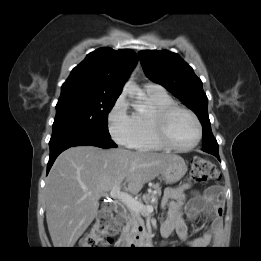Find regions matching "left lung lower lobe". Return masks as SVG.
I'll use <instances>...</instances> for the list:
<instances>
[{"label":"left lung lower lobe","instance_id":"1","mask_svg":"<svg viewBox=\"0 0 261 261\" xmlns=\"http://www.w3.org/2000/svg\"><path fill=\"white\" fill-rule=\"evenodd\" d=\"M202 150L207 152V153H210V154L214 155L220 161L219 153H218V149L217 148H203Z\"/></svg>","mask_w":261,"mask_h":261}]
</instances>
